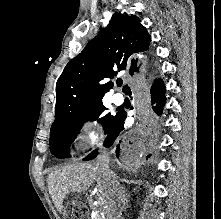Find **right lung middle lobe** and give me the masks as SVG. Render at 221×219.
I'll return each mask as SVG.
<instances>
[{
  "label": "right lung middle lobe",
  "mask_w": 221,
  "mask_h": 219,
  "mask_svg": "<svg viewBox=\"0 0 221 219\" xmlns=\"http://www.w3.org/2000/svg\"><path fill=\"white\" fill-rule=\"evenodd\" d=\"M107 108L102 101L83 105L65 116L55 120L50 130V148L52 154L62 159L69 154L70 145L87 120H97L105 133L111 128L116 115L105 114Z\"/></svg>",
  "instance_id": "right-lung-middle-lobe-1"
}]
</instances>
